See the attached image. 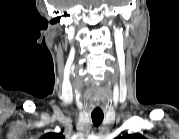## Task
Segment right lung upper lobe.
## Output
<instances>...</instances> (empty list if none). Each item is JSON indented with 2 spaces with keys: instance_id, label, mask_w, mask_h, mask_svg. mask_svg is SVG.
I'll return each instance as SVG.
<instances>
[{
  "instance_id": "cb5924a9",
  "label": "right lung upper lobe",
  "mask_w": 179,
  "mask_h": 139,
  "mask_svg": "<svg viewBox=\"0 0 179 139\" xmlns=\"http://www.w3.org/2000/svg\"><path fill=\"white\" fill-rule=\"evenodd\" d=\"M64 136L61 133H48L44 135L41 139H63Z\"/></svg>"
}]
</instances>
